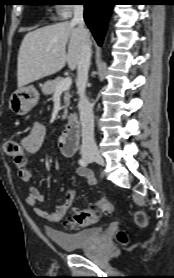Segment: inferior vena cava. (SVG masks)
Listing matches in <instances>:
<instances>
[{
  "mask_svg": "<svg viewBox=\"0 0 174 278\" xmlns=\"http://www.w3.org/2000/svg\"><path fill=\"white\" fill-rule=\"evenodd\" d=\"M83 5H74V17L72 25H78L79 29L85 33L83 19ZM91 61V46L88 39H84L81 46V55L77 64V92L79 94L78 108L82 125V146L81 152L98 153V148L94 139V115L93 107L86 97L85 90L88 80V71Z\"/></svg>",
  "mask_w": 174,
  "mask_h": 278,
  "instance_id": "1",
  "label": "inferior vena cava"
}]
</instances>
